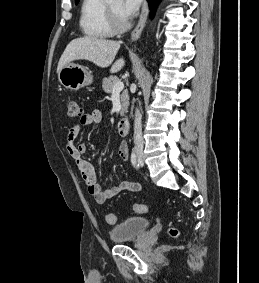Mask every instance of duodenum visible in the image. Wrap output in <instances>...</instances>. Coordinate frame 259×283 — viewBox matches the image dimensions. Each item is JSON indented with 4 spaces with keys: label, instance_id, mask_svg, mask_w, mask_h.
<instances>
[{
    "label": "duodenum",
    "instance_id": "duodenum-1",
    "mask_svg": "<svg viewBox=\"0 0 259 283\" xmlns=\"http://www.w3.org/2000/svg\"><path fill=\"white\" fill-rule=\"evenodd\" d=\"M129 124L130 122L128 118L120 119L117 125L118 134L121 136L127 135L129 131Z\"/></svg>",
    "mask_w": 259,
    "mask_h": 283
}]
</instances>
